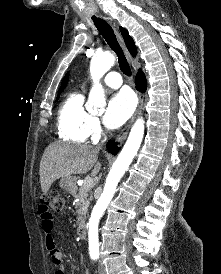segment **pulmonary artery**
<instances>
[{"label":"pulmonary artery","mask_w":221,"mask_h":274,"mask_svg":"<svg viewBox=\"0 0 221 274\" xmlns=\"http://www.w3.org/2000/svg\"><path fill=\"white\" fill-rule=\"evenodd\" d=\"M104 84L110 88L117 89L122 84V79L119 73L109 72L104 78Z\"/></svg>","instance_id":"pulmonary-artery-1"}]
</instances>
